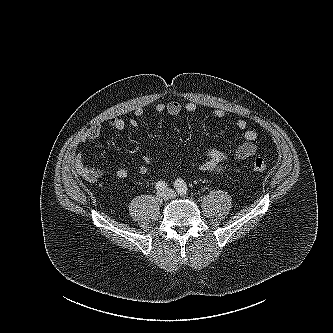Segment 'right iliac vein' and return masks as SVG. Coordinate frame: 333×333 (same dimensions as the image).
<instances>
[{"label": "right iliac vein", "instance_id": "obj_1", "mask_svg": "<svg viewBox=\"0 0 333 333\" xmlns=\"http://www.w3.org/2000/svg\"><path fill=\"white\" fill-rule=\"evenodd\" d=\"M157 196L161 200H167L169 198V194L167 193L166 190L158 191Z\"/></svg>", "mask_w": 333, "mask_h": 333}]
</instances>
